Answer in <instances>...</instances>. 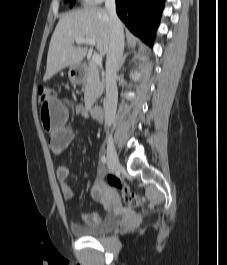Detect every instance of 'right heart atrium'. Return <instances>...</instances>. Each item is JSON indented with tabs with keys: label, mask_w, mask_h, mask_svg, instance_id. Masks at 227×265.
I'll return each mask as SVG.
<instances>
[{
	"label": "right heart atrium",
	"mask_w": 227,
	"mask_h": 265,
	"mask_svg": "<svg viewBox=\"0 0 227 265\" xmlns=\"http://www.w3.org/2000/svg\"><path fill=\"white\" fill-rule=\"evenodd\" d=\"M86 1H88L90 3H100V2H102L104 0H86Z\"/></svg>",
	"instance_id": "obj_1"
}]
</instances>
